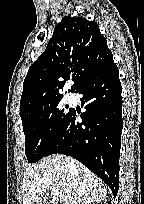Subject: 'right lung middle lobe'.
<instances>
[{"instance_id": "right-lung-middle-lobe-1", "label": "right lung middle lobe", "mask_w": 144, "mask_h": 204, "mask_svg": "<svg viewBox=\"0 0 144 204\" xmlns=\"http://www.w3.org/2000/svg\"><path fill=\"white\" fill-rule=\"evenodd\" d=\"M63 96L54 98L22 116L25 134V154L28 162L43 158L57 138L72 110L62 106Z\"/></svg>"}]
</instances>
